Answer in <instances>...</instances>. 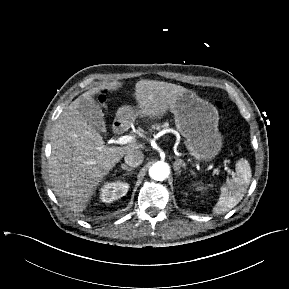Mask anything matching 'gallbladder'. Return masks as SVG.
<instances>
[{"label":"gallbladder","instance_id":"gallbladder-1","mask_svg":"<svg viewBox=\"0 0 289 289\" xmlns=\"http://www.w3.org/2000/svg\"><path fill=\"white\" fill-rule=\"evenodd\" d=\"M80 111L83 113V116L87 122L91 124L97 131H106L104 114L100 106L95 101L89 106L82 107Z\"/></svg>","mask_w":289,"mask_h":289}]
</instances>
